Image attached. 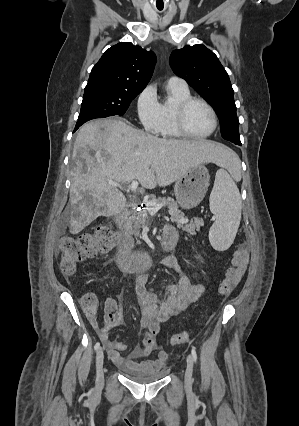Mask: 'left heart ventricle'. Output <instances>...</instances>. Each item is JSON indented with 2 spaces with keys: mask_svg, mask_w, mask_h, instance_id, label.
<instances>
[{
  "mask_svg": "<svg viewBox=\"0 0 299 426\" xmlns=\"http://www.w3.org/2000/svg\"><path fill=\"white\" fill-rule=\"evenodd\" d=\"M188 130L196 135H204L213 127V118L210 111L201 103H194L186 114Z\"/></svg>",
  "mask_w": 299,
  "mask_h": 426,
  "instance_id": "obj_1",
  "label": "left heart ventricle"
}]
</instances>
